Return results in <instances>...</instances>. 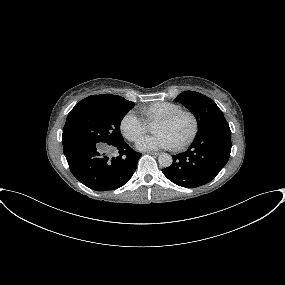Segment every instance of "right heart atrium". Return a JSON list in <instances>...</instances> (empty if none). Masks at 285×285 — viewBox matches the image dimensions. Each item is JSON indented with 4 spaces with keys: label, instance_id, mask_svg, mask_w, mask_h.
I'll return each mask as SVG.
<instances>
[{
    "label": "right heart atrium",
    "instance_id": "right-heart-atrium-1",
    "mask_svg": "<svg viewBox=\"0 0 285 285\" xmlns=\"http://www.w3.org/2000/svg\"><path fill=\"white\" fill-rule=\"evenodd\" d=\"M120 128L128 140L135 141L147 131L148 124L143 118L139 117L136 112L129 111L122 118Z\"/></svg>",
    "mask_w": 285,
    "mask_h": 285
}]
</instances>
